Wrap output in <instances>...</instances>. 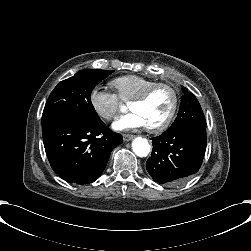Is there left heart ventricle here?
<instances>
[{
    "instance_id": "b2bd125f",
    "label": "left heart ventricle",
    "mask_w": 251,
    "mask_h": 251,
    "mask_svg": "<svg viewBox=\"0 0 251 251\" xmlns=\"http://www.w3.org/2000/svg\"><path fill=\"white\" fill-rule=\"evenodd\" d=\"M174 95L170 88L162 86L157 88L148 101L144 103H131L133 110H139L147 120L148 126L162 122L172 109Z\"/></svg>"
}]
</instances>
